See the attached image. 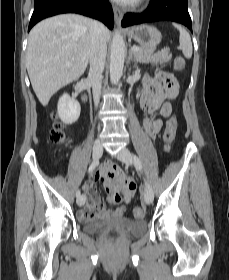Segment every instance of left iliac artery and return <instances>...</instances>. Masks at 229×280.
<instances>
[{"instance_id":"obj_1","label":"left iliac artery","mask_w":229,"mask_h":280,"mask_svg":"<svg viewBox=\"0 0 229 280\" xmlns=\"http://www.w3.org/2000/svg\"><path fill=\"white\" fill-rule=\"evenodd\" d=\"M133 158H134V163H135L136 168L139 169L140 171H142V164H141L140 159L136 155H133Z\"/></svg>"}]
</instances>
